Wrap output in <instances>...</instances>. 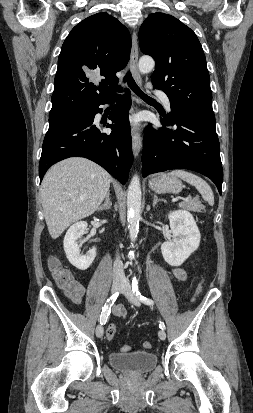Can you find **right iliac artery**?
<instances>
[{"label":"right iliac artery","instance_id":"1","mask_svg":"<svg viewBox=\"0 0 253 413\" xmlns=\"http://www.w3.org/2000/svg\"><path fill=\"white\" fill-rule=\"evenodd\" d=\"M119 293H115L113 294L105 303L104 307L102 308V312L100 315V324L104 325L107 321L108 316L110 315L111 312V307L114 304V302L116 301L117 297H118Z\"/></svg>","mask_w":253,"mask_h":413}]
</instances>
